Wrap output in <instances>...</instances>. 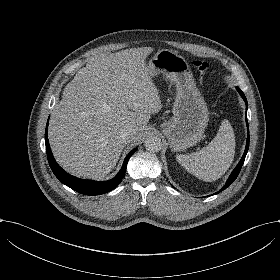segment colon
<instances>
[{"instance_id":"obj_1","label":"colon","mask_w":280,"mask_h":280,"mask_svg":"<svg viewBox=\"0 0 280 280\" xmlns=\"http://www.w3.org/2000/svg\"><path fill=\"white\" fill-rule=\"evenodd\" d=\"M193 68L197 70L200 73H206L208 70V63L200 61V60H195L192 62Z\"/></svg>"}]
</instances>
